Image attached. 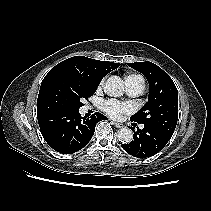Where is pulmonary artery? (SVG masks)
<instances>
[{"mask_svg": "<svg viewBox=\"0 0 211 211\" xmlns=\"http://www.w3.org/2000/svg\"><path fill=\"white\" fill-rule=\"evenodd\" d=\"M127 91L131 96H138L144 92L145 83L142 79H130L126 81ZM143 128V125L140 126Z\"/></svg>", "mask_w": 211, "mask_h": 211, "instance_id": "e3ab8cb5", "label": "pulmonary artery"}]
</instances>
